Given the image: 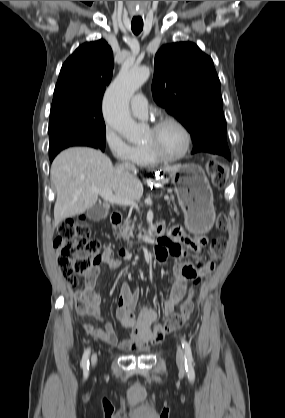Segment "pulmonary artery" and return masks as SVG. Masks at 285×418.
<instances>
[{
    "label": "pulmonary artery",
    "instance_id": "e3ab8cb5",
    "mask_svg": "<svg viewBox=\"0 0 285 418\" xmlns=\"http://www.w3.org/2000/svg\"><path fill=\"white\" fill-rule=\"evenodd\" d=\"M131 113L136 117H145L148 112V104L143 95H135L130 101Z\"/></svg>",
    "mask_w": 285,
    "mask_h": 418
}]
</instances>
